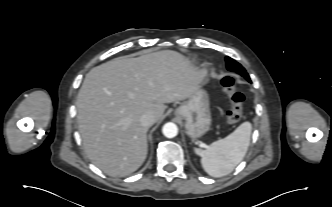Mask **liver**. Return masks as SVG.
<instances>
[{
  "instance_id": "1",
  "label": "liver",
  "mask_w": 332,
  "mask_h": 207,
  "mask_svg": "<svg viewBox=\"0 0 332 207\" xmlns=\"http://www.w3.org/2000/svg\"><path fill=\"white\" fill-rule=\"evenodd\" d=\"M206 72L178 52L119 57L93 68L77 97L79 133L88 158L110 176L136 171L147 155V128L140 118L159 121L165 103L189 98Z\"/></svg>"
}]
</instances>
